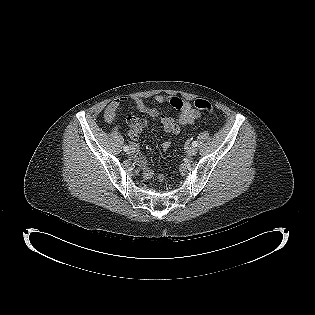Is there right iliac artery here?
I'll list each match as a JSON object with an SVG mask.
<instances>
[{
	"label": "right iliac artery",
	"instance_id": "82829eb1",
	"mask_svg": "<svg viewBox=\"0 0 315 315\" xmlns=\"http://www.w3.org/2000/svg\"><path fill=\"white\" fill-rule=\"evenodd\" d=\"M123 148H124V151L126 152L129 151V147L127 145H125Z\"/></svg>",
	"mask_w": 315,
	"mask_h": 315
}]
</instances>
